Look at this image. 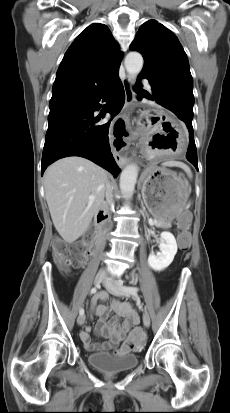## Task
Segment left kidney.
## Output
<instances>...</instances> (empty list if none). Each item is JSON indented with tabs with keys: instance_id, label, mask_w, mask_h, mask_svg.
<instances>
[{
	"instance_id": "5707ae66",
	"label": "left kidney",
	"mask_w": 230,
	"mask_h": 413,
	"mask_svg": "<svg viewBox=\"0 0 230 413\" xmlns=\"http://www.w3.org/2000/svg\"><path fill=\"white\" fill-rule=\"evenodd\" d=\"M160 251L157 255L151 253L148 257V265L155 271L166 269L173 261L177 253L175 237L170 232H162L160 235Z\"/></svg>"
}]
</instances>
